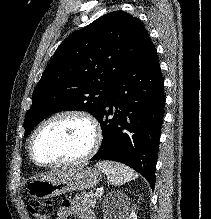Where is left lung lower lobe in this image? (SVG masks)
Wrapping results in <instances>:
<instances>
[{"label": "left lung lower lobe", "instance_id": "1", "mask_svg": "<svg viewBox=\"0 0 211 219\" xmlns=\"http://www.w3.org/2000/svg\"><path fill=\"white\" fill-rule=\"evenodd\" d=\"M164 105L163 78L149 38L107 94L97 118L103 141L91 160L124 163L144 176L153 189Z\"/></svg>", "mask_w": 211, "mask_h": 219}]
</instances>
